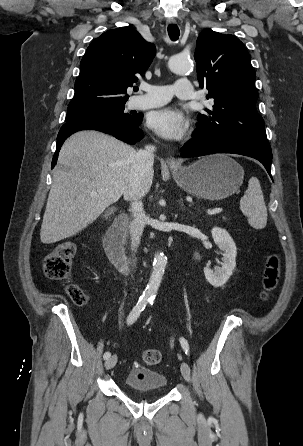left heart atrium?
<instances>
[{
  "mask_svg": "<svg viewBox=\"0 0 303 446\" xmlns=\"http://www.w3.org/2000/svg\"><path fill=\"white\" fill-rule=\"evenodd\" d=\"M148 126L166 139L177 140L185 135L188 120L180 110L166 107L149 115Z\"/></svg>",
  "mask_w": 303,
  "mask_h": 446,
  "instance_id": "obj_1",
  "label": "left heart atrium"
}]
</instances>
